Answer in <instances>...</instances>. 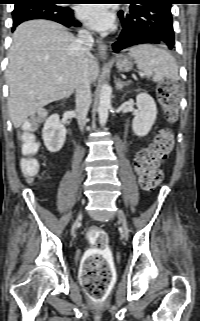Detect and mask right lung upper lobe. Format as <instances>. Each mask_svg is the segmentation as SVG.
Listing matches in <instances>:
<instances>
[{"instance_id":"obj_1","label":"right lung upper lobe","mask_w":200,"mask_h":321,"mask_svg":"<svg viewBox=\"0 0 200 321\" xmlns=\"http://www.w3.org/2000/svg\"><path fill=\"white\" fill-rule=\"evenodd\" d=\"M15 1V6L21 5V4H26L28 2H31L33 0H14Z\"/></svg>"}]
</instances>
